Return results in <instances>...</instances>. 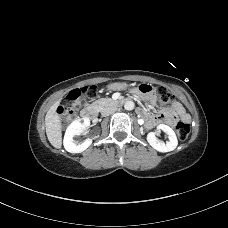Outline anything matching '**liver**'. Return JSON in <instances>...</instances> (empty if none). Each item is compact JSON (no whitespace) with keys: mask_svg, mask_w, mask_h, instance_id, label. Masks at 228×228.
<instances>
[{"mask_svg":"<svg viewBox=\"0 0 228 228\" xmlns=\"http://www.w3.org/2000/svg\"><path fill=\"white\" fill-rule=\"evenodd\" d=\"M59 104L60 101L53 104L45 116V127L48 140L52 146L57 149H60L62 146L61 121L56 112Z\"/></svg>","mask_w":228,"mask_h":228,"instance_id":"obj_1","label":"liver"}]
</instances>
